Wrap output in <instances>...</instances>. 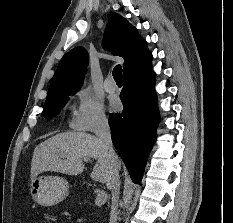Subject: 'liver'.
Wrapping results in <instances>:
<instances>
[{
  "instance_id": "6515ba94",
  "label": "liver",
  "mask_w": 233,
  "mask_h": 223,
  "mask_svg": "<svg viewBox=\"0 0 233 223\" xmlns=\"http://www.w3.org/2000/svg\"><path fill=\"white\" fill-rule=\"evenodd\" d=\"M92 159H96V163L90 173L91 179L105 183L108 187V183L113 181L112 167L98 137L83 131L56 133L35 147L31 161V179L43 171L79 175L84 171L87 161ZM119 169L121 161H118V171Z\"/></svg>"
}]
</instances>
